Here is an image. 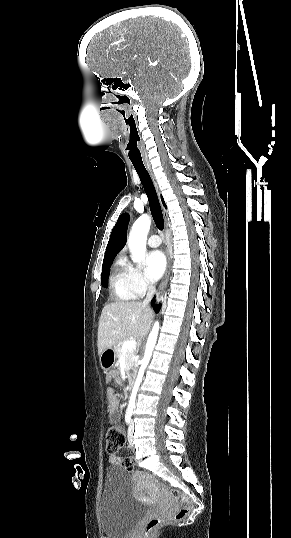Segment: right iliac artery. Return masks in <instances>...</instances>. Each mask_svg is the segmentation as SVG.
Returning a JSON list of instances; mask_svg holds the SVG:
<instances>
[{
  "label": "right iliac artery",
  "instance_id": "right-iliac-artery-1",
  "mask_svg": "<svg viewBox=\"0 0 291 538\" xmlns=\"http://www.w3.org/2000/svg\"><path fill=\"white\" fill-rule=\"evenodd\" d=\"M125 421H126L127 424H130V422H131V413H126Z\"/></svg>",
  "mask_w": 291,
  "mask_h": 538
}]
</instances>
